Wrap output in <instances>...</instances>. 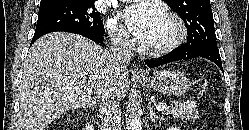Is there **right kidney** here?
<instances>
[{"instance_id": "ca27d5eb", "label": "right kidney", "mask_w": 249, "mask_h": 130, "mask_svg": "<svg viewBox=\"0 0 249 130\" xmlns=\"http://www.w3.org/2000/svg\"><path fill=\"white\" fill-rule=\"evenodd\" d=\"M84 130H94V127L92 124H86Z\"/></svg>"}]
</instances>
